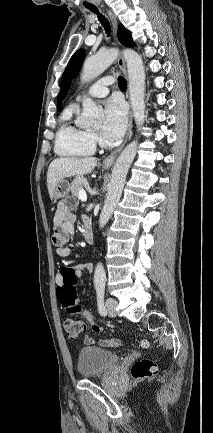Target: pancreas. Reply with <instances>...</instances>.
<instances>
[{
    "label": "pancreas",
    "mask_w": 213,
    "mask_h": 433,
    "mask_svg": "<svg viewBox=\"0 0 213 433\" xmlns=\"http://www.w3.org/2000/svg\"><path fill=\"white\" fill-rule=\"evenodd\" d=\"M85 183V178L77 176L71 184V193L75 196H79V191L83 189Z\"/></svg>",
    "instance_id": "1"
}]
</instances>
